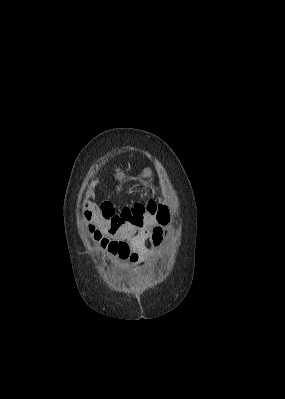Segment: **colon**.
Listing matches in <instances>:
<instances>
[{"label":"colon","instance_id":"obj_1","mask_svg":"<svg viewBox=\"0 0 285 399\" xmlns=\"http://www.w3.org/2000/svg\"><path fill=\"white\" fill-rule=\"evenodd\" d=\"M129 206L133 208L139 206L138 203H130ZM85 210L89 213L91 219L98 220L103 223V230L96 228L93 224H88L87 229L94 235V237L99 240L103 246L109 247L112 250L115 257L120 259H130L136 261L137 258L132 256L128 245L119 240L109 239V232L116 230L124 223V218H122L118 213H116L112 206L108 203H102L98 208L89 200L85 201ZM145 211L153 213L155 210L157 213V223L167 222V209L165 207H158L155 201L148 200L143 205ZM138 225L141 224V219L137 222ZM144 263H140L143 265Z\"/></svg>","mask_w":285,"mask_h":399}]
</instances>
